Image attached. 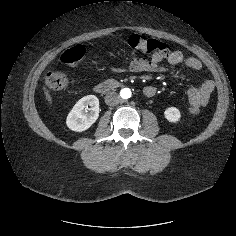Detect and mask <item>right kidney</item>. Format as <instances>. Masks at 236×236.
<instances>
[{
  "label": "right kidney",
  "instance_id": "1",
  "mask_svg": "<svg viewBox=\"0 0 236 236\" xmlns=\"http://www.w3.org/2000/svg\"><path fill=\"white\" fill-rule=\"evenodd\" d=\"M90 107V108H88ZM99 116V100L94 95L81 98L72 108L66 119V125L75 132L87 130Z\"/></svg>",
  "mask_w": 236,
  "mask_h": 236
}]
</instances>
